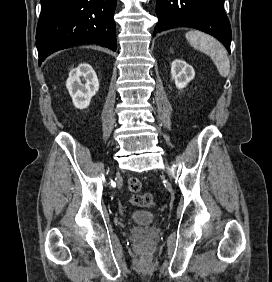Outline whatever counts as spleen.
<instances>
[{
	"label": "spleen",
	"mask_w": 272,
	"mask_h": 282,
	"mask_svg": "<svg viewBox=\"0 0 272 282\" xmlns=\"http://www.w3.org/2000/svg\"><path fill=\"white\" fill-rule=\"evenodd\" d=\"M185 37L194 49L211 57L221 76H228L230 62L226 50L216 39L199 31H189Z\"/></svg>",
	"instance_id": "3e777b00"
}]
</instances>
